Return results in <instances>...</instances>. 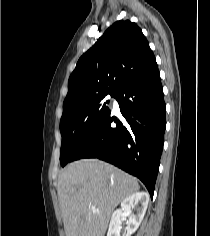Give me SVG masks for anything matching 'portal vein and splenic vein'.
<instances>
[{
    "label": "portal vein and splenic vein",
    "mask_w": 210,
    "mask_h": 236,
    "mask_svg": "<svg viewBox=\"0 0 210 236\" xmlns=\"http://www.w3.org/2000/svg\"><path fill=\"white\" fill-rule=\"evenodd\" d=\"M91 209H92V210H95V207H94V206H91Z\"/></svg>",
    "instance_id": "18ae733b"
}]
</instances>
